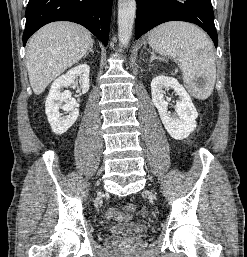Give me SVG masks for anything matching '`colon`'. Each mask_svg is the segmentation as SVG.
Listing matches in <instances>:
<instances>
[{
  "mask_svg": "<svg viewBox=\"0 0 247 257\" xmlns=\"http://www.w3.org/2000/svg\"><path fill=\"white\" fill-rule=\"evenodd\" d=\"M136 212V206L133 203H128L124 206L123 211L120 212L117 209H108L105 213V218L108 220H126L130 219Z\"/></svg>",
  "mask_w": 247,
  "mask_h": 257,
  "instance_id": "obj_1",
  "label": "colon"
}]
</instances>
